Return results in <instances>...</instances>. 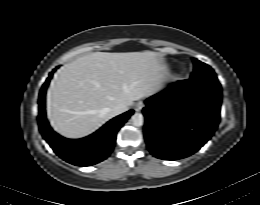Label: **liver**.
<instances>
[{"label":"liver","mask_w":260,"mask_h":205,"mask_svg":"<svg viewBox=\"0 0 260 205\" xmlns=\"http://www.w3.org/2000/svg\"><path fill=\"white\" fill-rule=\"evenodd\" d=\"M165 66L156 52H95L61 67L47 96L53 128L68 138L87 136L113 118L111 109L156 94Z\"/></svg>","instance_id":"6515ba94"}]
</instances>
